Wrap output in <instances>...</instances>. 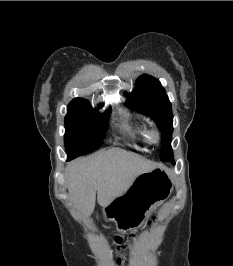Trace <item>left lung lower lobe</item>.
Here are the masks:
<instances>
[{
  "label": "left lung lower lobe",
  "instance_id": "1",
  "mask_svg": "<svg viewBox=\"0 0 233 266\" xmlns=\"http://www.w3.org/2000/svg\"><path fill=\"white\" fill-rule=\"evenodd\" d=\"M170 161H172V162H173V157H172V159H171ZM173 163H174V162H173Z\"/></svg>",
  "mask_w": 233,
  "mask_h": 266
}]
</instances>
